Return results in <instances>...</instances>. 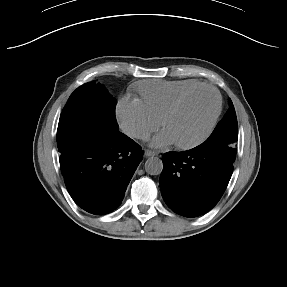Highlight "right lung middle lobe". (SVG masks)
Listing matches in <instances>:
<instances>
[{
  "mask_svg": "<svg viewBox=\"0 0 287 287\" xmlns=\"http://www.w3.org/2000/svg\"><path fill=\"white\" fill-rule=\"evenodd\" d=\"M116 100L96 81L78 87L65 105L57 129L61 154L83 140L119 131L115 118Z\"/></svg>",
  "mask_w": 287,
  "mask_h": 287,
  "instance_id": "obj_1",
  "label": "right lung middle lobe"
}]
</instances>
